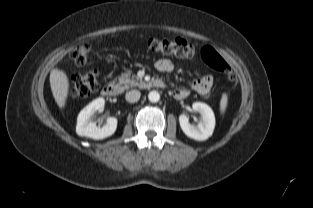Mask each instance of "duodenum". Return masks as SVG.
<instances>
[{"label": "duodenum", "mask_w": 313, "mask_h": 208, "mask_svg": "<svg viewBox=\"0 0 313 208\" xmlns=\"http://www.w3.org/2000/svg\"><path fill=\"white\" fill-rule=\"evenodd\" d=\"M165 83L162 80H150L141 81L140 88L151 89V88H164ZM119 93V88L115 83H107L102 87V94L105 97H114Z\"/></svg>", "instance_id": "obj_1"}]
</instances>
